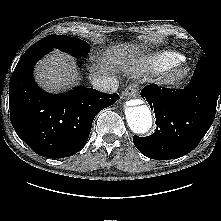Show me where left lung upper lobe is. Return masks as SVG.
Listing matches in <instances>:
<instances>
[{
    "label": "left lung upper lobe",
    "instance_id": "left-lung-upper-lobe-1",
    "mask_svg": "<svg viewBox=\"0 0 221 221\" xmlns=\"http://www.w3.org/2000/svg\"><path fill=\"white\" fill-rule=\"evenodd\" d=\"M197 67H212L211 64L209 63L208 59L205 57H202L198 61V66Z\"/></svg>",
    "mask_w": 221,
    "mask_h": 221
}]
</instances>
